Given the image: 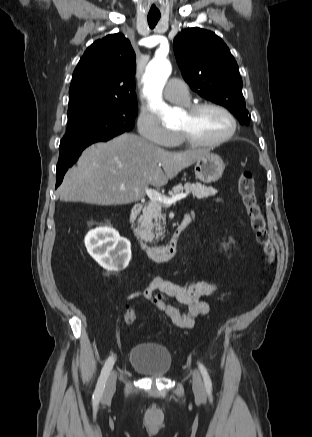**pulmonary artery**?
Instances as JSON below:
<instances>
[{
	"label": "pulmonary artery",
	"mask_w": 312,
	"mask_h": 437,
	"mask_svg": "<svg viewBox=\"0 0 312 437\" xmlns=\"http://www.w3.org/2000/svg\"><path fill=\"white\" fill-rule=\"evenodd\" d=\"M164 96L167 100L179 104H187L190 96L186 83L179 79H170L164 88Z\"/></svg>",
	"instance_id": "pulmonary-artery-1"
}]
</instances>
